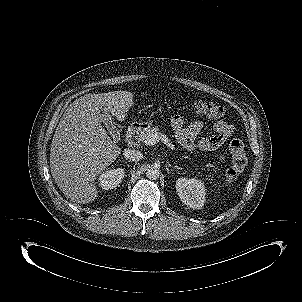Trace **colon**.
I'll return each mask as SVG.
<instances>
[{
    "label": "colon",
    "mask_w": 302,
    "mask_h": 302,
    "mask_svg": "<svg viewBox=\"0 0 302 302\" xmlns=\"http://www.w3.org/2000/svg\"><path fill=\"white\" fill-rule=\"evenodd\" d=\"M193 107L198 114L212 118H218L223 116L224 114V108L222 106L210 102L196 101ZM229 151L232 156L233 165L226 171L225 175L227 180L235 178L236 175L243 169L246 163L244 145L240 140H232L229 144Z\"/></svg>",
    "instance_id": "1"
}]
</instances>
